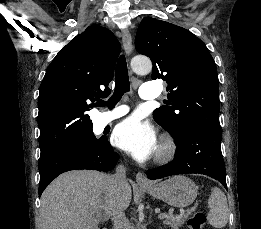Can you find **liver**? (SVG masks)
<instances>
[{"mask_svg": "<svg viewBox=\"0 0 261 229\" xmlns=\"http://www.w3.org/2000/svg\"><path fill=\"white\" fill-rule=\"evenodd\" d=\"M108 177L98 171H69L57 177L40 199V229H99L116 209L125 211L132 199L129 183L113 197Z\"/></svg>", "mask_w": 261, "mask_h": 229, "instance_id": "6515ba94", "label": "liver"}]
</instances>
